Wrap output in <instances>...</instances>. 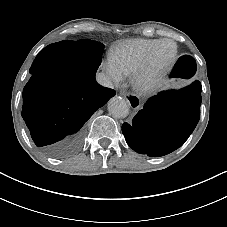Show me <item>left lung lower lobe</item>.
<instances>
[{
    "instance_id": "1",
    "label": "left lung lower lobe",
    "mask_w": 227,
    "mask_h": 227,
    "mask_svg": "<svg viewBox=\"0 0 227 227\" xmlns=\"http://www.w3.org/2000/svg\"><path fill=\"white\" fill-rule=\"evenodd\" d=\"M196 71L193 64L178 65L174 77L188 79ZM199 81L179 90L160 92L150 98L144 108L124 123L122 132L128 145L140 154L160 157L179 148L191 135L199 121L201 105Z\"/></svg>"
}]
</instances>
